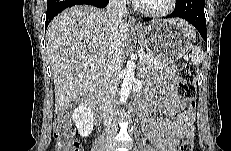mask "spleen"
<instances>
[{"label": "spleen", "mask_w": 231, "mask_h": 151, "mask_svg": "<svg viewBox=\"0 0 231 151\" xmlns=\"http://www.w3.org/2000/svg\"><path fill=\"white\" fill-rule=\"evenodd\" d=\"M191 63L194 65H199L203 61V51L200 47H195L191 52Z\"/></svg>", "instance_id": "obj_1"}]
</instances>
